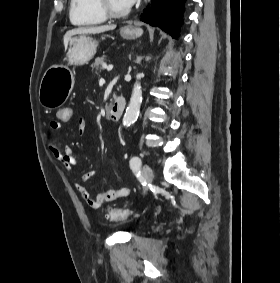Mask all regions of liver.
Wrapping results in <instances>:
<instances>
[{
  "instance_id": "1",
  "label": "liver",
  "mask_w": 280,
  "mask_h": 283,
  "mask_svg": "<svg viewBox=\"0 0 280 283\" xmlns=\"http://www.w3.org/2000/svg\"><path fill=\"white\" fill-rule=\"evenodd\" d=\"M116 25H103V26H93V27H79L66 32L63 37L65 49L68 47L69 40L73 35L79 34H99L106 31L114 30Z\"/></svg>"
}]
</instances>
